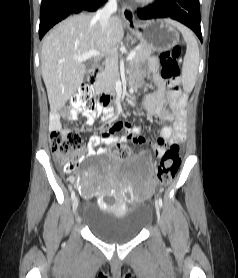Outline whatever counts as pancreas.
Masks as SVG:
<instances>
[{
    "mask_svg": "<svg viewBox=\"0 0 238 278\" xmlns=\"http://www.w3.org/2000/svg\"><path fill=\"white\" fill-rule=\"evenodd\" d=\"M135 51L136 55L131 60L132 64L139 63L149 57L153 53L154 49L150 46L141 44L135 49ZM119 78L120 73L118 66L112 63L106 64L105 69L98 73L94 86L102 92L110 93L115 90V84Z\"/></svg>",
    "mask_w": 238,
    "mask_h": 278,
    "instance_id": "cf45deb5",
    "label": "pancreas"
}]
</instances>
